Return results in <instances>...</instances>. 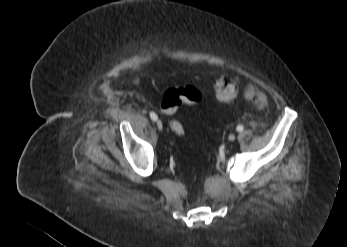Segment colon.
Here are the masks:
<instances>
[{
    "label": "colon",
    "mask_w": 347,
    "mask_h": 247,
    "mask_svg": "<svg viewBox=\"0 0 347 247\" xmlns=\"http://www.w3.org/2000/svg\"><path fill=\"white\" fill-rule=\"evenodd\" d=\"M214 90L218 101L229 103L236 96L237 86L230 78L224 77L216 81ZM245 95L258 109L262 110L266 107V96L254 86H248L245 90ZM201 98L199 90L191 85L173 87L164 94L161 107L164 113L171 118L170 128L176 136L183 137L185 135V127L174 117L175 114L183 105L196 104Z\"/></svg>",
    "instance_id": "5ec220e1"
}]
</instances>
